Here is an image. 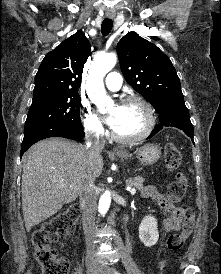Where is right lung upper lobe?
I'll return each instance as SVG.
<instances>
[{"instance_id": "obj_1", "label": "right lung upper lobe", "mask_w": 221, "mask_h": 274, "mask_svg": "<svg viewBox=\"0 0 221 274\" xmlns=\"http://www.w3.org/2000/svg\"><path fill=\"white\" fill-rule=\"evenodd\" d=\"M90 50L89 40L78 31L49 52L36 74L33 99L78 93Z\"/></svg>"}]
</instances>
